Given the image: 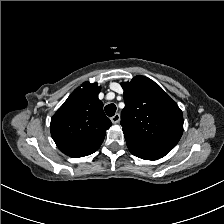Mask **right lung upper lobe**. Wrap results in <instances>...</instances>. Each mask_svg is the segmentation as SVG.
Masks as SVG:
<instances>
[{"label":"right lung upper lobe","instance_id":"cb5924a9","mask_svg":"<svg viewBox=\"0 0 224 224\" xmlns=\"http://www.w3.org/2000/svg\"><path fill=\"white\" fill-rule=\"evenodd\" d=\"M101 87L85 82L76 88L52 116L50 131L55 142L67 141L77 146L81 156L95 152L102 144L111 121L98 99Z\"/></svg>","mask_w":224,"mask_h":224}]
</instances>
